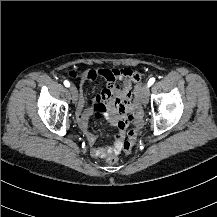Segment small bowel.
<instances>
[{
    "label": "small bowel",
    "mask_w": 217,
    "mask_h": 217,
    "mask_svg": "<svg viewBox=\"0 0 217 217\" xmlns=\"http://www.w3.org/2000/svg\"><path fill=\"white\" fill-rule=\"evenodd\" d=\"M140 78L139 73L128 68L121 69L119 73L106 69H94L82 73L75 121L87 138L92 157L105 158L110 154H118L123 149L129 121L142 116ZM97 80H106V85L95 95L89 108L85 109L83 88ZM94 117H103L116 128V140L113 145H96L95 137L88 130V120Z\"/></svg>",
    "instance_id": "c3829d8e"
}]
</instances>
